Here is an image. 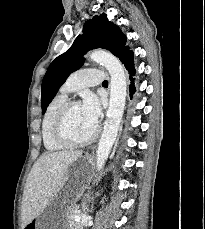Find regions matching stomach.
I'll list each match as a JSON object with an SVG mask.
<instances>
[{
	"label": "stomach",
	"mask_w": 205,
	"mask_h": 229,
	"mask_svg": "<svg viewBox=\"0 0 205 229\" xmlns=\"http://www.w3.org/2000/svg\"><path fill=\"white\" fill-rule=\"evenodd\" d=\"M90 161L89 155H85L72 165L66 176L63 194H57L43 212L25 226V229H68L66 215L70 205L67 204L78 196L83 188L88 178Z\"/></svg>",
	"instance_id": "0dacf381"
}]
</instances>
